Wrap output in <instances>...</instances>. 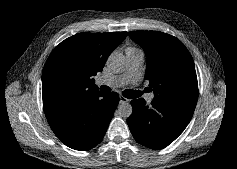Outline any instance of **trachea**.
I'll list each match as a JSON object with an SVG mask.
<instances>
[{
  "label": "trachea",
  "mask_w": 237,
  "mask_h": 169,
  "mask_svg": "<svg viewBox=\"0 0 237 169\" xmlns=\"http://www.w3.org/2000/svg\"><path fill=\"white\" fill-rule=\"evenodd\" d=\"M107 88L106 86H102L100 89L103 91V92H106L107 91ZM141 95V92L140 91H129L128 92V95H125L126 97L128 98H136V97H139Z\"/></svg>",
  "instance_id": "1"
}]
</instances>
